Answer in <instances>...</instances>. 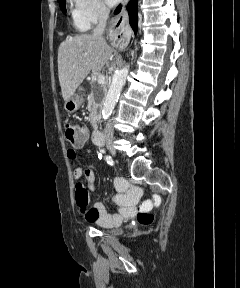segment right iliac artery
Masks as SVG:
<instances>
[{"mask_svg":"<svg viewBox=\"0 0 240 288\" xmlns=\"http://www.w3.org/2000/svg\"><path fill=\"white\" fill-rule=\"evenodd\" d=\"M105 161H106L108 164H110V165L113 164V159H112V157L109 156V155L105 156Z\"/></svg>","mask_w":240,"mask_h":288,"instance_id":"obj_1","label":"right iliac artery"}]
</instances>
